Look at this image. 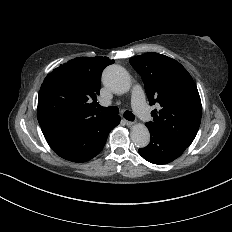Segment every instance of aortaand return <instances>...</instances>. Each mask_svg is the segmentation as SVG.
Returning <instances> with one entry per match:
<instances>
[{
  "instance_id": "1",
  "label": "aorta",
  "mask_w": 232,
  "mask_h": 232,
  "mask_svg": "<svg viewBox=\"0 0 232 232\" xmlns=\"http://www.w3.org/2000/svg\"><path fill=\"white\" fill-rule=\"evenodd\" d=\"M102 82L107 89L115 94H124L131 87L128 72L119 65L108 66L103 72ZM130 136L137 147L143 148L149 144L150 133L142 123H136L132 126Z\"/></svg>"
}]
</instances>
